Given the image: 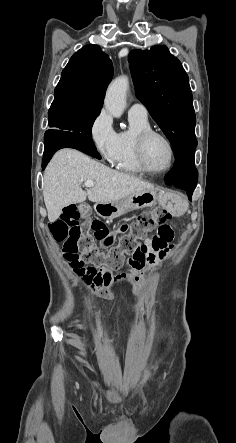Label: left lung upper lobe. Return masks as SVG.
Here are the masks:
<instances>
[{"instance_id":"left-lung-upper-lobe-1","label":"left lung upper lobe","mask_w":236,"mask_h":443,"mask_svg":"<svg viewBox=\"0 0 236 443\" xmlns=\"http://www.w3.org/2000/svg\"><path fill=\"white\" fill-rule=\"evenodd\" d=\"M129 65L136 95L169 139L177 157L197 146L188 75L166 46L132 50Z\"/></svg>"}]
</instances>
